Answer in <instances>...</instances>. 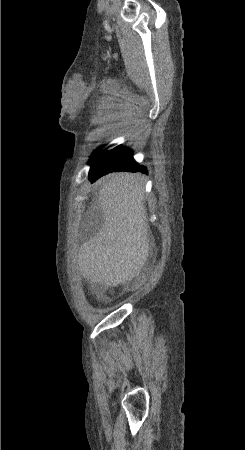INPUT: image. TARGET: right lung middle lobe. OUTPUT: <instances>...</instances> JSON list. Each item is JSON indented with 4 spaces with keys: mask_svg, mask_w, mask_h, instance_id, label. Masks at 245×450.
Wrapping results in <instances>:
<instances>
[{
    "mask_svg": "<svg viewBox=\"0 0 245 450\" xmlns=\"http://www.w3.org/2000/svg\"><path fill=\"white\" fill-rule=\"evenodd\" d=\"M118 150L119 149H117V150H108V151H98L97 150V151L93 152L91 157H90V161H89L91 169L96 167L104 159V157L106 155H108L111 152L118 151Z\"/></svg>",
    "mask_w": 245,
    "mask_h": 450,
    "instance_id": "1",
    "label": "right lung middle lobe"
}]
</instances>
